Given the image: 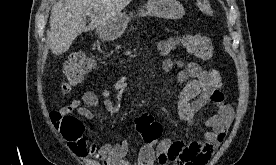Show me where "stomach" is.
Returning <instances> with one entry per match:
<instances>
[{
	"label": "stomach",
	"mask_w": 276,
	"mask_h": 165,
	"mask_svg": "<svg viewBox=\"0 0 276 165\" xmlns=\"http://www.w3.org/2000/svg\"><path fill=\"white\" fill-rule=\"evenodd\" d=\"M185 10L177 0H148L139 10L138 16H156L164 19H180ZM132 14L120 13L105 25L98 27L96 33L102 40H114L122 35L130 22Z\"/></svg>",
	"instance_id": "obj_1"
}]
</instances>
